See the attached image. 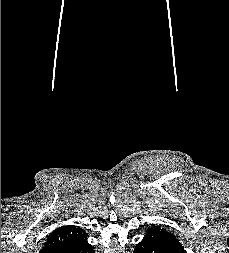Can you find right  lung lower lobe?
<instances>
[{
	"label": "right lung lower lobe",
	"mask_w": 229,
	"mask_h": 253,
	"mask_svg": "<svg viewBox=\"0 0 229 253\" xmlns=\"http://www.w3.org/2000/svg\"><path fill=\"white\" fill-rule=\"evenodd\" d=\"M57 253H95L93 247L87 242V239Z\"/></svg>",
	"instance_id": "obj_1"
}]
</instances>
